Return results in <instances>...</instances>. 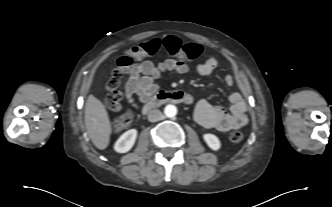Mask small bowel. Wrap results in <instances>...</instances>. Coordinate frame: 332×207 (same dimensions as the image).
<instances>
[{"instance_id": "c3829d8e", "label": "small bowel", "mask_w": 332, "mask_h": 207, "mask_svg": "<svg viewBox=\"0 0 332 207\" xmlns=\"http://www.w3.org/2000/svg\"><path fill=\"white\" fill-rule=\"evenodd\" d=\"M218 67L215 57H207L196 66V71L201 76L211 74ZM189 67L186 63L176 59H167L159 64L144 60L132 64L127 70L128 80L125 86V95L133 108L145 103L160 89L159 80L163 73L186 74ZM224 83L231 86L235 83L233 75L224 77ZM231 106L229 110L216 106L206 99H200L195 106V120L203 127L219 131L239 129L247 124V106L238 92L230 95Z\"/></svg>"}]
</instances>
